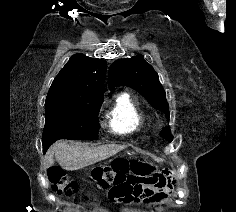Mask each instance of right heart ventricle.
<instances>
[{
	"label": "right heart ventricle",
	"instance_id": "e07e8e85",
	"mask_svg": "<svg viewBox=\"0 0 236 212\" xmlns=\"http://www.w3.org/2000/svg\"><path fill=\"white\" fill-rule=\"evenodd\" d=\"M143 120V111L134 97L127 92L120 93L109 113L111 129L118 134L131 133L141 127Z\"/></svg>",
	"mask_w": 236,
	"mask_h": 212
}]
</instances>
